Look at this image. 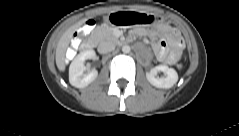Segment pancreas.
Segmentation results:
<instances>
[{
  "mask_svg": "<svg viewBox=\"0 0 239 136\" xmlns=\"http://www.w3.org/2000/svg\"><path fill=\"white\" fill-rule=\"evenodd\" d=\"M91 37L98 40H113V41L118 40V38L114 35L111 29L103 27V26L97 27L93 31Z\"/></svg>",
  "mask_w": 239,
  "mask_h": 136,
  "instance_id": "cf45deb5",
  "label": "pancreas"
}]
</instances>
